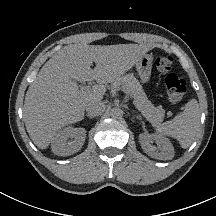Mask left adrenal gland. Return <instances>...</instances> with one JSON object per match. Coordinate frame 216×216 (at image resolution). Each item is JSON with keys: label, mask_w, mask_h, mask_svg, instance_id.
Here are the masks:
<instances>
[{"label": "left adrenal gland", "mask_w": 216, "mask_h": 216, "mask_svg": "<svg viewBox=\"0 0 216 216\" xmlns=\"http://www.w3.org/2000/svg\"><path fill=\"white\" fill-rule=\"evenodd\" d=\"M137 118L141 119V116H138V115H137Z\"/></svg>", "instance_id": "1"}]
</instances>
